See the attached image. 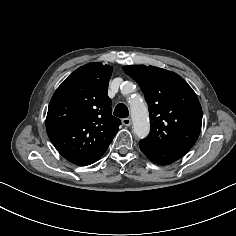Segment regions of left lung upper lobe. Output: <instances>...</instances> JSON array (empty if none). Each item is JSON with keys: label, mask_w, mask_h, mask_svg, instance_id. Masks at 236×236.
<instances>
[{"label": "left lung upper lobe", "mask_w": 236, "mask_h": 236, "mask_svg": "<svg viewBox=\"0 0 236 236\" xmlns=\"http://www.w3.org/2000/svg\"><path fill=\"white\" fill-rule=\"evenodd\" d=\"M149 107L151 130L140 142L155 147L191 148L202 125V108L193 89L178 74L154 67L130 65Z\"/></svg>", "instance_id": "obj_1"}]
</instances>
